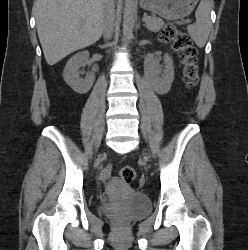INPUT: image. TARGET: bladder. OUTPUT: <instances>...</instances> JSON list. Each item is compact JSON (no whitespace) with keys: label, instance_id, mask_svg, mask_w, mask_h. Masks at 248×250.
<instances>
[{"label":"bladder","instance_id":"31cf9c89","mask_svg":"<svg viewBox=\"0 0 248 250\" xmlns=\"http://www.w3.org/2000/svg\"><path fill=\"white\" fill-rule=\"evenodd\" d=\"M103 213L114 214L126 219L146 216L150 212L151 204L148 197L139 192H130L118 205L101 202L99 205Z\"/></svg>","mask_w":248,"mask_h":250}]
</instances>
